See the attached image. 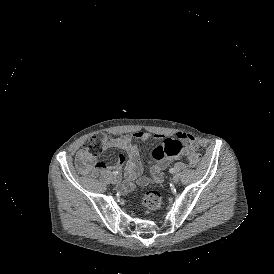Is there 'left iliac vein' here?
<instances>
[{
  "label": "left iliac vein",
  "instance_id": "left-iliac-vein-1",
  "mask_svg": "<svg viewBox=\"0 0 274 274\" xmlns=\"http://www.w3.org/2000/svg\"><path fill=\"white\" fill-rule=\"evenodd\" d=\"M172 181H173L174 183H178V182H179V176L174 175L173 178H172Z\"/></svg>",
  "mask_w": 274,
  "mask_h": 274
}]
</instances>
